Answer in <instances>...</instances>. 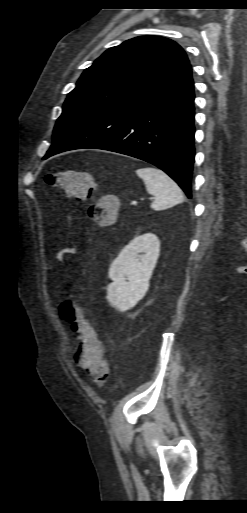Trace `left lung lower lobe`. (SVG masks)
<instances>
[{
    "label": "left lung lower lobe",
    "mask_w": 247,
    "mask_h": 513,
    "mask_svg": "<svg viewBox=\"0 0 247 513\" xmlns=\"http://www.w3.org/2000/svg\"><path fill=\"white\" fill-rule=\"evenodd\" d=\"M194 87L191 65L131 102L97 119L48 152L96 148L147 161L191 198L194 163Z\"/></svg>",
    "instance_id": "0a47b994"
}]
</instances>
